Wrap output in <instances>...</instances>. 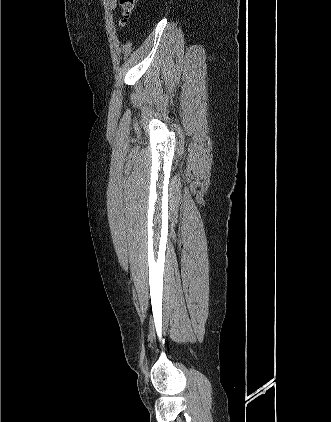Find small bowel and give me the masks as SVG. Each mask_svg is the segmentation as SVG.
I'll return each mask as SVG.
<instances>
[{"mask_svg": "<svg viewBox=\"0 0 331 422\" xmlns=\"http://www.w3.org/2000/svg\"><path fill=\"white\" fill-rule=\"evenodd\" d=\"M104 2L108 9L113 10L116 7L117 0H104Z\"/></svg>", "mask_w": 331, "mask_h": 422, "instance_id": "c3829d8e", "label": "small bowel"}]
</instances>
